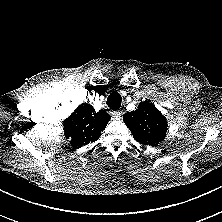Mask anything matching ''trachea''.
<instances>
[{
	"label": "trachea",
	"mask_w": 222,
	"mask_h": 222,
	"mask_svg": "<svg viewBox=\"0 0 222 222\" xmlns=\"http://www.w3.org/2000/svg\"><path fill=\"white\" fill-rule=\"evenodd\" d=\"M121 95L117 91H113L107 99V105L110 107L112 110H117L121 107Z\"/></svg>",
	"instance_id": "1"
}]
</instances>
